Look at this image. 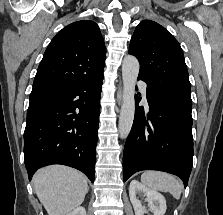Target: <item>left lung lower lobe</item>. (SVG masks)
Wrapping results in <instances>:
<instances>
[{"label":"left lung lower lobe","instance_id":"obj_1","mask_svg":"<svg viewBox=\"0 0 223 215\" xmlns=\"http://www.w3.org/2000/svg\"><path fill=\"white\" fill-rule=\"evenodd\" d=\"M146 83L149 110L138 106L136 96L134 122L123 154V181L141 170H160L177 175L186 187L194 154L192 101Z\"/></svg>","mask_w":223,"mask_h":215}]
</instances>
